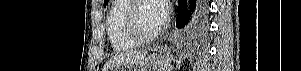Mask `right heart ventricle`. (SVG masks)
Returning a JSON list of instances; mask_svg holds the SVG:
<instances>
[{"label":"right heart ventricle","instance_id":"obj_1","mask_svg":"<svg viewBox=\"0 0 301 71\" xmlns=\"http://www.w3.org/2000/svg\"><path fill=\"white\" fill-rule=\"evenodd\" d=\"M130 0L113 1L107 17V34L110 44L114 50L126 51L139 45L126 32L124 25V14Z\"/></svg>","mask_w":301,"mask_h":71}]
</instances>
